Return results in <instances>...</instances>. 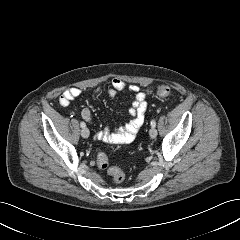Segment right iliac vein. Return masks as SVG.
I'll list each match as a JSON object with an SVG mask.
<instances>
[{"instance_id": "obj_1", "label": "right iliac vein", "mask_w": 240, "mask_h": 240, "mask_svg": "<svg viewBox=\"0 0 240 240\" xmlns=\"http://www.w3.org/2000/svg\"><path fill=\"white\" fill-rule=\"evenodd\" d=\"M89 135H90V132H89V130H88L87 128H83V129L81 130V136H82L83 138H88Z\"/></svg>"}]
</instances>
